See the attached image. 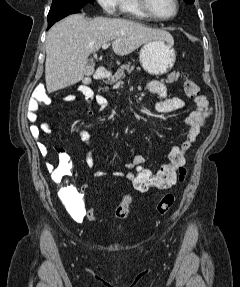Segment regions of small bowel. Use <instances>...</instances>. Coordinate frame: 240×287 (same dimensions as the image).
Instances as JSON below:
<instances>
[{"mask_svg":"<svg viewBox=\"0 0 240 287\" xmlns=\"http://www.w3.org/2000/svg\"><path fill=\"white\" fill-rule=\"evenodd\" d=\"M147 90L159 97V101L155 104V110L159 114H168L174 111H177L185 105V101L178 96L169 97L167 95L166 86L159 81H150L147 84ZM80 92L84 95L85 99L88 102L95 100L98 108L100 110H105L109 103L107 99L101 95H94L93 91L85 86L80 87ZM65 102H74L76 96L74 94H67L63 97ZM195 107L189 113L185 119V128H186V140L181 144L183 150H188L192 143L196 140L197 136L200 133L201 128L207 121V119L212 114V109L209 107L208 100L206 96L200 95L193 99ZM38 101L32 98L28 104L27 118L30 122L34 123L37 119V110H38ZM53 128L50 122H44L39 127L32 125L30 127V132L33 138L37 141L38 149L43 156H46L49 152L48 146L40 139V132L45 134L52 133ZM79 136L84 144L87 146V151L85 153V163L88 168L94 169L95 161L93 156V145L90 136L85 131H79ZM58 158L68 161L70 163V157L63 147H55ZM147 159L144 155L136 154L133 155L126 163L125 167L127 169L133 170L136 166L141 164H146ZM106 174L102 170H94L93 175L95 177H102ZM114 177L126 178L130 181L131 172L124 171H114ZM84 189H85V185ZM84 189L77 190L75 188H68L62 193V202L72 217V219L78 223L84 221L86 217V207L83 201L82 191Z\"/></svg>","mask_w":240,"mask_h":287,"instance_id":"obj_1","label":"small bowel"}]
</instances>
